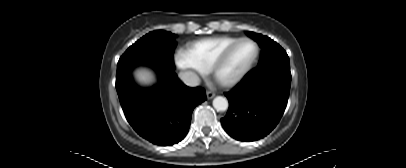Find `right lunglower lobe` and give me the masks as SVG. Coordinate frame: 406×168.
Returning a JSON list of instances; mask_svg holds the SVG:
<instances>
[{
    "label": "right lung lower lobe",
    "mask_w": 406,
    "mask_h": 168,
    "mask_svg": "<svg viewBox=\"0 0 406 168\" xmlns=\"http://www.w3.org/2000/svg\"><path fill=\"white\" fill-rule=\"evenodd\" d=\"M116 89L132 128L160 146L180 142L190 127L193 109L206 100L204 89L187 87L171 68L157 70V82L151 87H140L127 76L116 79Z\"/></svg>",
    "instance_id": "obj_1"
}]
</instances>
